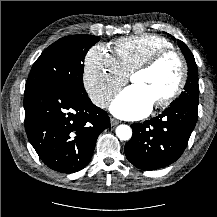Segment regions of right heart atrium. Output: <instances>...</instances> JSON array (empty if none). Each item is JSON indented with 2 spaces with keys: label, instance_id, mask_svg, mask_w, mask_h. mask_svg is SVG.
Returning <instances> with one entry per match:
<instances>
[{
  "label": "right heart atrium",
  "instance_id": "right-heart-atrium-1",
  "mask_svg": "<svg viewBox=\"0 0 217 217\" xmlns=\"http://www.w3.org/2000/svg\"><path fill=\"white\" fill-rule=\"evenodd\" d=\"M127 78L128 75L105 45L98 44L89 49L85 57L83 80L85 89L96 106L105 108Z\"/></svg>",
  "mask_w": 217,
  "mask_h": 217
}]
</instances>
